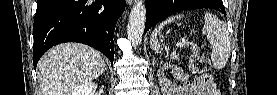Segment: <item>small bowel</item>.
Returning <instances> with one entry per match:
<instances>
[{
    "mask_svg": "<svg viewBox=\"0 0 277 95\" xmlns=\"http://www.w3.org/2000/svg\"><path fill=\"white\" fill-rule=\"evenodd\" d=\"M183 85L167 90V95H215V87L207 76H193L186 70L177 73Z\"/></svg>",
    "mask_w": 277,
    "mask_h": 95,
    "instance_id": "obj_1",
    "label": "small bowel"
}]
</instances>
